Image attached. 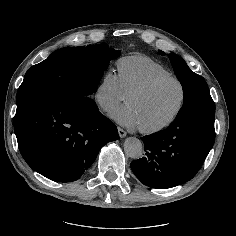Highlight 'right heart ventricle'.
I'll list each match as a JSON object with an SVG mask.
<instances>
[{"label":"right heart ventricle","instance_id":"obj_1","mask_svg":"<svg viewBox=\"0 0 236 236\" xmlns=\"http://www.w3.org/2000/svg\"><path fill=\"white\" fill-rule=\"evenodd\" d=\"M121 86L125 93L130 94L152 80L160 77L173 76L161 63L145 55H133L117 61Z\"/></svg>","mask_w":236,"mask_h":236}]
</instances>
